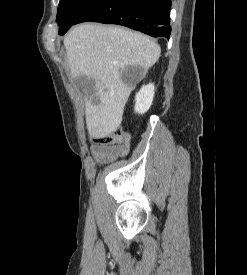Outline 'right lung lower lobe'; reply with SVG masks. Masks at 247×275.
Listing matches in <instances>:
<instances>
[{"label": "right lung lower lobe", "instance_id": "right-lung-lower-lobe-1", "mask_svg": "<svg viewBox=\"0 0 247 275\" xmlns=\"http://www.w3.org/2000/svg\"><path fill=\"white\" fill-rule=\"evenodd\" d=\"M170 8L171 0H100L86 9L74 24L85 21L118 24L169 39Z\"/></svg>", "mask_w": 247, "mask_h": 275}]
</instances>
